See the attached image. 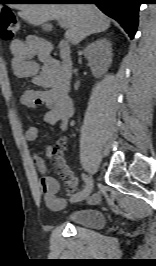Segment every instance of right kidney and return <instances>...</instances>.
<instances>
[{"instance_id":"obj_1","label":"right kidney","mask_w":156,"mask_h":266,"mask_svg":"<svg viewBox=\"0 0 156 266\" xmlns=\"http://www.w3.org/2000/svg\"><path fill=\"white\" fill-rule=\"evenodd\" d=\"M92 73L96 76L105 73L112 63V44L106 38H100L90 43L84 49Z\"/></svg>"}]
</instances>
